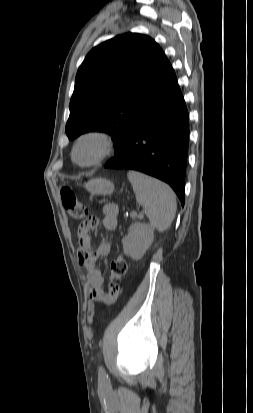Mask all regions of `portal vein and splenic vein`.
I'll return each instance as SVG.
<instances>
[{"instance_id":"portal-vein-and-splenic-vein-1","label":"portal vein and splenic vein","mask_w":253,"mask_h":413,"mask_svg":"<svg viewBox=\"0 0 253 413\" xmlns=\"http://www.w3.org/2000/svg\"><path fill=\"white\" fill-rule=\"evenodd\" d=\"M132 215H133V216H136L137 214H136L135 212H132Z\"/></svg>"}]
</instances>
